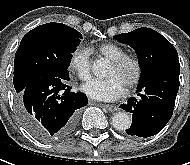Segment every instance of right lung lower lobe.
<instances>
[{"label": "right lung lower lobe", "instance_id": "1", "mask_svg": "<svg viewBox=\"0 0 190 165\" xmlns=\"http://www.w3.org/2000/svg\"><path fill=\"white\" fill-rule=\"evenodd\" d=\"M67 78L43 77L28 84L16 100L19 118L28 131L41 141L70 135L78 121L79 109L88 99L70 92Z\"/></svg>", "mask_w": 190, "mask_h": 165}]
</instances>
